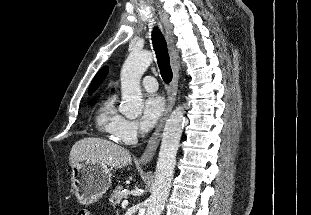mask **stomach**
Segmentation results:
<instances>
[{
	"mask_svg": "<svg viewBox=\"0 0 311 215\" xmlns=\"http://www.w3.org/2000/svg\"><path fill=\"white\" fill-rule=\"evenodd\" d=\"M110 184L111 172L105 164L82 161L72 167V187L77 200L83 205L96 202L107 192Z\"/></svg>",
	"mask_w": 311,
	"mask_h": 215,
	"instance_id": "obj_1",
	"label": "stomach"
}]
</instances>
